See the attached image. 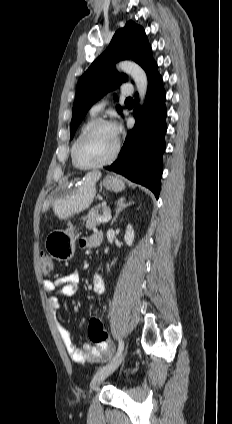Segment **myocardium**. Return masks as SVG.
<instances>
[{
    "label": "myocardium",
    "instance_id": "1",
    "mask_svg": "<svg viewBox=\"0 0 232 424\" xmlns=\"http://www.w3.org/2000/svg\"><path fill=\"white\" fill-rule=\"evenodd\" d=\"M100 127L115 128L114 124L111 121H108V120H105V119H97L93 123H91L83 131V133L76 140V142L73 146V151H72V157H73L74 163L78 168H80V169L99 168V167L105 166L107 164H110L111 162H113L117 158V156L120 152V148H121V141H120V138H119L118 135L116 137V143H115V147H114L113 152L107 158H105L104 160L99 161L97 163H92V164H85L80 160V158L78 156V151H79L80 145L92 132H94L96 129H98Z\"/></svg>",
    "mask_w": 232,
    "mask_h": 424
}]
</instances>
